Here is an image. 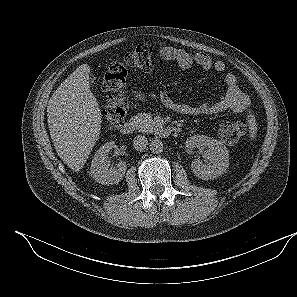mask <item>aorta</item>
<instances>
[{
  "label": "aorta",
  "mask_w": 297,
  "mask_h": 297,
  "mask_svg": "<svg viewBox=\"0 0 297 297\" xmlns=\"http://www.w3.org/2000/svg\"><path fill=\"white\" fill-rule=\"evenodd\" d=\"M149 146H150V151L154 154H159L163 152L164 146L162 141L159 139L152 140Z\"/></svg>",
  "instance_id": "1"
}]
</instances>
